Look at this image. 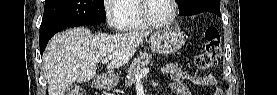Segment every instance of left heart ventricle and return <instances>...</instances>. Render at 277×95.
<instances>
[{
    "mask_svg": "<svg viewBox=\"0 0 277 95\" xmlns=\"http://www.w3.org/2000/svg\"><path fill=\"white\" fill-rule=\"evenodd\" d=\"M173 6L170 0H148L147 15L156 21H165L172 15Z\"/></svg>",
    "mask_w": 277,
    "mask_h": 95,
    "instance_id": "obj_1",
    "label": "left heart ventricle"
}]
</instances>
